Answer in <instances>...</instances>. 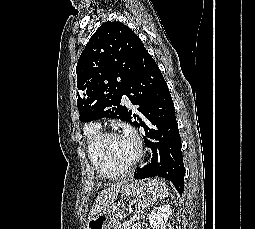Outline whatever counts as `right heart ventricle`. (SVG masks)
Returning <instances> with one entry per match:
<instances>
[{"mask_svg": "<svg viewBox=\"0 0 255 229\" xmlns=\"http://www.w3.org/2000/svg\"><path fill=\"white\" fill-rule=\"evenodd\" d=\"M102 135L100 125L92 123L86 128L87 155L95 170L105 178H114L121 174V171L111 168L98 154L96 144Z\"/></svg>", "mask_w": 255, "mask_h": 229, "instance_id": "right-heart-ventricle-1", "label": "right heart ventricle"}]
</instances>
